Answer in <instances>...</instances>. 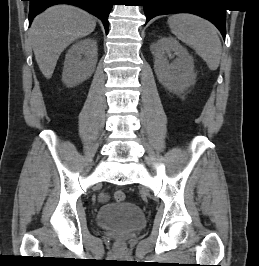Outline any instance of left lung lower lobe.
<instances>
[{"mask_svg":"<svg viewBox=\"0 0 259 266\" xmlns=\"http://www.w3.org/2000/svg\"><path fill=\"white\" fill-rule=\"evenodd\" d=\"M142 3L147 22L157 15L192 13L212 22L225 39L226 11L222 8L213 7L214 0H143Z\"/></svg>","mask_w":259,"mask_h":266,"instance_id":"1","label":"left lung lower lobe"}]
</instances>
